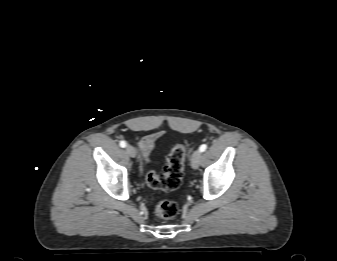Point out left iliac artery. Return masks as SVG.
Masks as SVG:
<instances>
[{
    "label": "left iliac artery",
    "instance_id": "obj_1",
    "mask_svg": "<svg viewBox=\"0 0 337 261\" xmlns=\"http://www.w3.org/2000/svg\"><path fill=\"white\" fill-rule=\"evenodd\" d=\"M206 149H207V145H206V144H202V145L200 146V148H199V150H200L201 152H204Z\"/></svg>",
    "mask_w": 337,
    "mask_h": 261
}]
</instances>
